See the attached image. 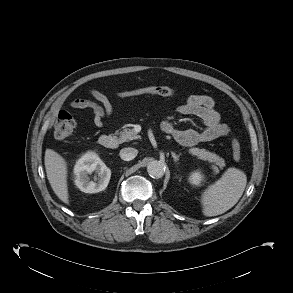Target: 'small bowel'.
Instances as JSON below:
<instances>
[{"label":"small bowel","instance_id":"obj_1","mask_svg":"<svg viewBox=\"0 0 293 293\" xmlns=\"http://www.w3.org/2000/svg\"><path fill=\"white\" fill-rule=\"evenodd\" d=\"M88 98H76L71 101L73 109H88L93 114V122L97 127H102L107 118L113 112L109 96L100 90H91ZM182 115L194 116L201 119L206 128L203 131L195 129H179L170 121L162 123V130L171 134L179 143L192 146L199 143L210 142L229 134L230 127L221 121V116L215 109V102L208 95L193 94L187 97L185 102L177 108Z\"/></svg>","mask_w":293,"mask_h":293}]
</instances>
